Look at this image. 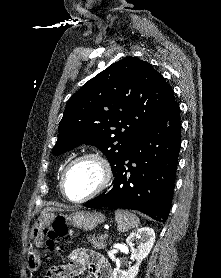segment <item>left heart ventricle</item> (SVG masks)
I'll return each mask as SVG.
<instances>
[{"mask_svg":"<svg viewBox=\"0 0 221 278\" xmlns=\"http://www.w3.org/2000/svg\"><path fill=\"white\" fill-rule=\"evenodd\" d=\"M101 177L99 166L92 160L76 163L66 179V193L71 199H80L90 193Z\"/></svg>","mask_w":221,"mask_h":278,"instance_id":"1","label":"left heart ventricle"}]
</instances>
